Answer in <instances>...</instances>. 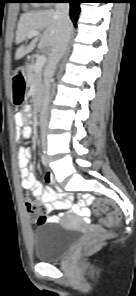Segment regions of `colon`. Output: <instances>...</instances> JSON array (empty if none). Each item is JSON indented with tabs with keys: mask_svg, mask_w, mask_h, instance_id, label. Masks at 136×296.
Segmentation results:
<instances>
[{
	"mask_svg": "<svg viewBox=\"0 0 136 296\" xmlns=\"http://www.w3.org/2000/svg\"><path fill=\"white\" fill-rule=\"evenodd\" d=\"M16 80L18 81L17 78ZM93 207L107 216V225H112L119 222L121 214L115 204L109 199L98 198L94 201ZM25 209L28 215L33 218L37 224H45L47 222V216L43 204L31 195L26 196ZM100 240V236H89L87 240H85V242L81 245L80 250L82 252H89Z\"/></svg>",
	"mask_w": 136,
	"mask_h": 296,
	"instance_id": "5ec220e1",
	"label": "colon"
}]
</instances>
